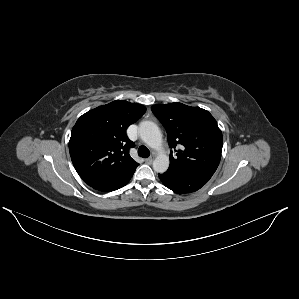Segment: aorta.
I'll return each mask as SVG.
<instances>
[{"label": "aorta", "instance_id": "obj_1", "mask_svg": "<svg viewBox=\"0 0 299 299\" xmlns=\"http://www.w3.org/2000/svg\"><path fill=\"white\" fill-rule=\"evenodd\" d=\"M140 138L152 149L158 151L153 161V169L157 173H164L169 167V157L163 152V140L159 127L151 121H143L139 126Z\"/></svg>", "mask_w": 299, "mask_h": 299}]
</instances>
